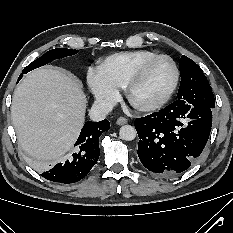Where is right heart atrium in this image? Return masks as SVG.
I'll use <instances>...</instances> for the list:
<instances>
[{
  "label": "right heart atrium",
  "instance_id": "d8ad5b80",
  "mask_svg": "<svg viewBox=\"0 0 233 233\" xmlns=\"http://www.w3.org/2000/svg\"><path fill=\"white\" fill-rule=\"evenodd\" d=\"M87 82L97 104L109 107L117 99L118 88L107 80L100 67L88 69Z\"/></svg>",
  "mask_w": 233,
  "mask_h": 233
}]
</instances>
